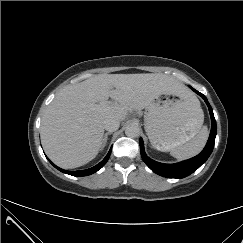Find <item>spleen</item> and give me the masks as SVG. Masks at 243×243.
Returning a JSON list of instances; mask_svg holds the SVG:
<instances>
[{
	"label": "spleen",
	"instance_id": "3e777b00",
	"mask_svg": "<svg viewBox=\"0 0 243 243\" xmlns=\"http://www.w3.org/2000/svg\"><path fill=\"white\" fill-rule=\"evenodd\" d=\"M199 112L202 118H204L202 109H199ZM207 139L208 129L206 126H203L191 140L171 149L170 154L178 160L191 158L201 152L207 142Z\"/></svg>",
	"mask_w": 243,
	"mask_h": 243
}]
</instances>
